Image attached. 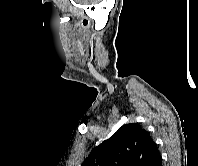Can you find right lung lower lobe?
Masks as SVG:
<instances>
[{"mask_svg": "<svg viewBox=\"0 0 198 166\" xmlns=\"http://www.w3.org/2000/svg\"><path fill=\"white\" fill-rule=\"evenodd\" d=\"M149 166H162V158L159 154L154 158V160L149 164Z\"/></svg>", "mask_w": 198, "mask_h": 166, "instance_id": "right-lung-lower-lobe-1", "label": "right lung lower lobe"}]
</instances>
